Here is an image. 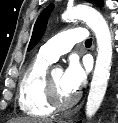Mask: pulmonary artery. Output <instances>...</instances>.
<instances>
[{"mask_svg": "<svg viewBox=\"0 0 118 123\" xmlns=\"http://www.w3.org/2000/svg\"><path fill=\"white\" fill-rule=\"evenodd\" d=\"M87 39V30L81 27L71 28L57 34L45 43L39 54L51 62L56 61L61 55L67 53L75 43Z\"/></svg>", "mask_w": 118, "mask_h": 123, "instance_id": "obj_1", "label": "pulmonary artery"}]
</instances>
